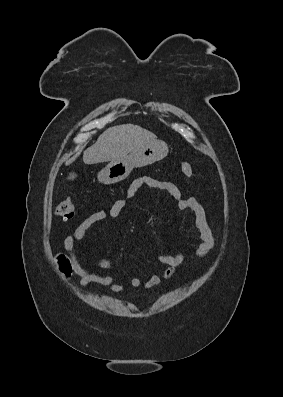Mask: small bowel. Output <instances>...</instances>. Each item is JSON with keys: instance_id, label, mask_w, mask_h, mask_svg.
Here are the masks:
<instances>
[{"instance_id": "1", "label": "small bowel", "mask_w": 283, "mask_h": 397, "mask_svg": "<svg viewBox=\"0 0 283 397\" xmlns=\"http://www.w3.org/2000/svg\"><path fill=\"white\" fill-rule=\"evenodd\" d=\"M144 187L156 188L167 191L177 207L182 211L191 212L195 217V226L199 231L201 243L196 249L198 257H204L213 247L214 240L212 231L209 225L207 213L202 204L196 198H183L179 188L167 181H161L150 176H140L135 179L127 189L126 195L123 198L116 200L108 209L99 210L85 218L74 230L64 239V248L68 253L75 273L80 277V286L87 287L91 283L99 284L101 286L110 287L115 293L123 292L124 288L119 284L113 276L101 275L100 270H106L113 267V262L108 259L99 261L94 268H84L78 261L75 253V244L81 242L88 230L96 223L106 220L108 218H116L127 204V200L136 196V194ZM187 247L182 248L175 254L161 255L158 260L165 268L161 275L153 274L143 284L145 289H152L161 283L162 279H168L175 273L176 268L183 262ZM133 287L142 286V281L138 277H133L130 281Z\"/></svg>"}]
</instances>
